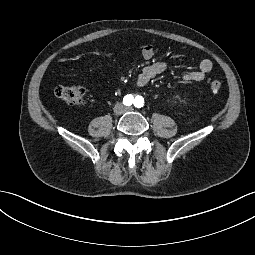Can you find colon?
Listing matches in <instances>:
<instances>
[{"label": "colon", "mask_w": 255, "mask_h": 255, "mask_svg": "<svg viewBox=\"0 0 255 255\" xmlns=\"http://www.w3.org/2000/svg\"><path fill=\"white\" fill-rule=\"evenodd\" d=\"M213 93L218 92L222 83L219 80H212L209 84ZM85 91L81 86H57L54 89V95L69 105H79L83 102Z\"/></svg>", "instance_id": "5ec220e1"}]
</instances>
